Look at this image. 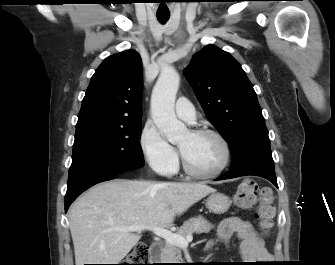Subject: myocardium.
<instances>
[{
	"mask_svg": "<svg viewBox=\"0 0 335 265\" xmlns=\"http://www.w3.org/2000/svg\"><path fill=\"white\" fill-rule=\"evenodd\" d=\"M190 133L194 136H213L215 137L222 145L224 155H223V160L221 164L215 170L211 172L203 173V172H198L192 169L186 162L183 154L181 153V162H182V168L184 172L192 178L201 179V180L214 179L220 176L225 171V169L228 167L231 161L232 152H231V147H230L228 140L220 132L213 130V129H206V128L196 129V130H192Z\"/></svg>",
	"mask_w": 335,
	"mask_h": 265,
	"instance_id": "obj_1",
	"label": "myocardium"
}]
</instances>
